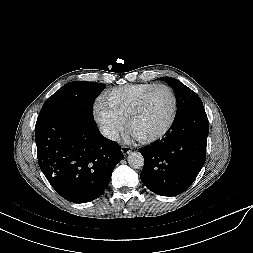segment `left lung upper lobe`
<instances>
[{
  "label": "left lung upper lobe",
  "mask_w": 253,
  "mask_h": 253,
  "mask_svg": "<svg viewBox=\"0 0 253 253\" xmlns=\"http://www.w3.org/2000/svg\"><path fill=\"white\" fill-rule=\"evenodd\" d=\"M160 79L167 82L175 92L178 103L177 115L190 109L203 106L200 97L177 79L170 77H161Z\"/></svg>",
  "instance_id": "obj_1"
}]
</instances>
